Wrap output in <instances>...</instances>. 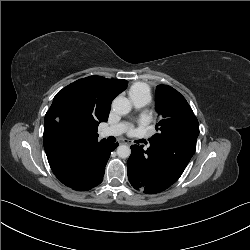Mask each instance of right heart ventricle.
<instances>
[{
    "instance_id": "e07e8e85",
    "label": "right heart ventricle",
    "mask_w": 250,
    "mask_h": 250,
    "mask_svg": "<svg viewBox=\"0 0 250 250\" xmlns=\"http://www.w3.org/2000/svg\"><path fill=\"white\" fill-rule=\"evenodd\" d=\"M128 93L131 100L144 99L148 102L151 98V87L145 82H135L130 86Z\"/></svg>"
}]
</instances>
